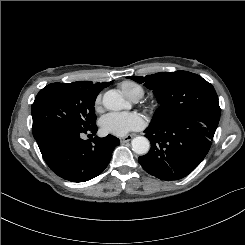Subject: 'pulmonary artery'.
I'll list each match as a JSON object with an SVG mask.
<instances>
[{
  "mask_svg": "<svg viewBox=\"0 0 245 245\" xmlns=\"http://www.w3.org/2000/svg\"><path fill=\"white\" fill-rule=\"evenodd\" d=\"M140 97H135L132 100L137 101Z\"/></svg>",
  "mask_w": 245,
  "mask_h": 245,
  "instance_id": "1",
  "label": "pulmonary artery"
}]
</instances>
